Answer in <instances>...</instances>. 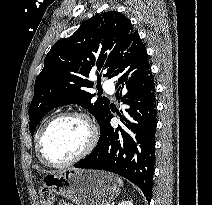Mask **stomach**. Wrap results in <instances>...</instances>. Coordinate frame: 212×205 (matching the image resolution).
Here are the masks:
<instances>
[{"label":"stomach","mask_w":212,"mask_h":205,"mask_svg":"<svg viewBox=\"0 0 212 205\" xmlns=\"http://www.w3.org/2000/svg\"><path fill=\"white\" fill-rule=\"evenodd\" d=\"M42 183L76 205H106L120 192L115 175L101 170L65 169L45 175Z\"/></svg>","instance_id":"0dacf381"}]
</instances>
